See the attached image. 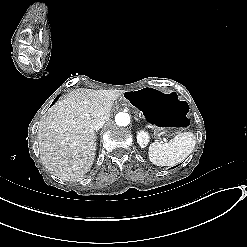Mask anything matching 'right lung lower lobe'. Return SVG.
I'll return each mask as SVG.
<instances>
[{"label": "right lung lower lobe", "instance_id": "98d812e1", "mask_svg": "<svg viewBox=\"0 0 247 247\" xmlns=\"http://www.w3.org/2000/svg\"><path fill=\"white\" fill-rule=\"evenodd\" d=\"M58 98V97H57ZM57 98L54 100V102L57 100ZM54 102L52 103V105L54 104Z\"/></svg>", "mask_w": 247, "mask_h": 247}]
</instances>
